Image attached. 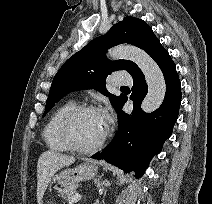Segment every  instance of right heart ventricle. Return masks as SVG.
I'll return each instance as SVG.
<instances>
[{
	"mask_svg": "<svg viewBox=\"0 0 212 204\" xmlns=\"http://www.w3.org/2000/svg\"><path fill=\"white\" fill-rule=\"evenodd\" d=\"M75 106L73 101H67L60 105L50 116L43 130V139L46 145L53 151L66 152L69 148L63 142L59 133V123L62 116L70 108Z\"/></svg>",
	"mask_w": 212,
	"mask_h": 204,
	"instance_id": "e07e8e85",
	"label": "right heart ventricle"
}]
</instances>
